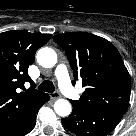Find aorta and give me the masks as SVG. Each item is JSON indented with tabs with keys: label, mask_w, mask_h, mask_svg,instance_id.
Segmentation results:
<instances>
[{
	"label": "aorta",
	"mask_w": 136,
	"mask_h": 136,
	"mask_svg": "<svg viewBox=\"0 0 136 136\" xmlns=\"http://www.w3.org/2000/svg\"><path fill=\"white\" fill-rule=\"evenodd\" d=\"M38 63L45 68L54 67L57 63V54L52 48L44 47L37 52ZM54 110L57 115L66 117L72 111L71 104L68 100L58 99L54 104Z\"/></svg>",
	"instance_id": "obj_1"
}]
</instances>
